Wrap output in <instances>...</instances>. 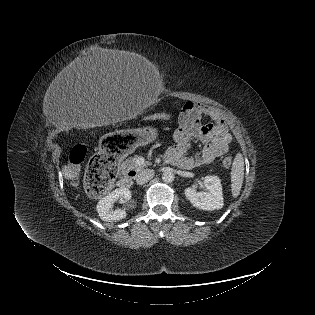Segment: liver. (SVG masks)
<instances>
[{
  "mask_svg": "<svg viewBox=\"0 0 315 315\" xmlns=\"http://www.w3.org/2000/svg\"><path fill=\"white\" fill-rule=\"evenodd\" d=\"M133 59V53L120 50L102 49L98 53L89 55L81 59L75 66L67 72L68 77L74 74L78 77L88 78L99 75H115L118 72L128 71ZM122 116V115H121ZM64 178L75 180L76 172L69 165L62 168Z\"/></svg>",
  "mask_w": 315,
  "mask_h": 315,
  "instance_id": "liver-1",
  "label": "liver"
}]
</instances>
